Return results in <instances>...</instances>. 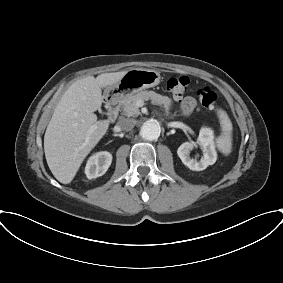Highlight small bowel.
Segmentation results:
<instances>
[{
    "instance_id": "c3829d8e",
    "label": "small bowel",
    "mask_w": 283,
    "mask_h": 283,
    "mask_svg": "<svg viewBox=\"0 0 283 283\" xmlns=\"http://www.w3.org/2000/svg\"><path fill=\"white\" fill-rule=\"evenodd\" d=\"M175 100L180 102L183 113L189 114L196 107V100L191 96L175 97Z\"/></svg>"
}]
</instances>
